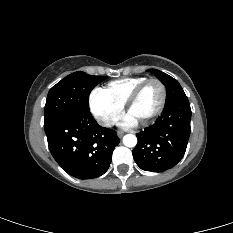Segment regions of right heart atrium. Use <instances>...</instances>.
<instances>
[{
    "label": "right heart atrium",
    "instance_id": "right-heart-atrium-1",
    "mask_svg": "<svg viewBox=\"0 0 233 233\" xmlns=\"http://www.w3.org/2000/svg\"><path fill=\"white\" fill-rule=\"evenodd\" d=\"M89 108L97 122L106 128L112 127L123 114V107L113 102L103 89L91 91Z\"/></svg>",
    "mask_w": 233,
    "mask_h": 233
}]
</instances>
